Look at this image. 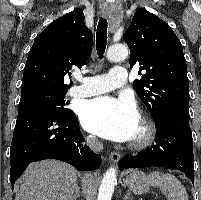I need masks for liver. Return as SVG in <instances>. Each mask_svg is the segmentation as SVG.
<instances>
[{"label": "liver", "instance_id": "6515ba94", "mask_svg": "<svg viewBox=\"0 0 201 200\" xmlns=\"http://www.w3.org/2000/svg\"><path fill=\"white\" fill-rule=\"evenodd\" d=\"M77 172L70 165L44 160L30 165L15 200H72Z\"/></svg>", "mask_w": 201, "mask_h": 200}]
</instances>
